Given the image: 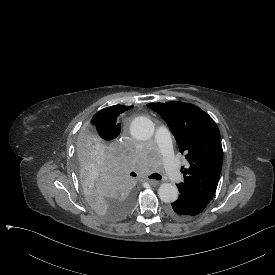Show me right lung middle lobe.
<instances>
[{
    "mask_svg": "<svg viewBox=\"0 0 275 275\" xmlns=\"http://www.w3.org/2000/svg\"><path fill=\"white\" fill-rule=\"evenodd\" d=\"M100 128L87 124L77 141V170L88 204L101 216L121 220L133 206L126 171L129 154L113 142H102Z\"/></svg>",
    "mask_w": 275,
    "mask_h": 275,
    "instance_id": "dd1d6c3e",
    "label": "right lung middle lobe"
}]
</instances>
